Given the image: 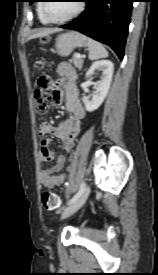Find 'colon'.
<instances>
[{"mask_svg":"<svg viewBox=\"0 0 158 275\" xmlns=\"http://www.w3.org/2000/svg\"><path fill=\"white\" fill-rule=\"evenodd\" d=\"M47 41L43 39V43ZM55 94L49 90V80L41 77L37 82V87L34 91L35 109L38 114H45L49 111ZM42 205L46 210H57L60 207V198L57 194L44 191L41 195Z\"/></svg>","mask_w":158,"mask_h":275,"instance_id":"5ec220e1","label":"colon"}]
</instances>
